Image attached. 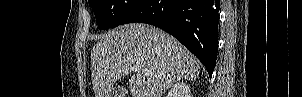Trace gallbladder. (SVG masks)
I'll return each mask as SVG.
<instances>
[{
	"instance_id": "gallbladder-1",
	"label": "gallbladder",
	"mask_w": 302,
	"mask_h": 97,
	"mask_svg": "<svg viewBox=\"0 0 302 97\" xmlns=\"http://www.w3.org/2000/svg\"><path fill=\"white\" fill-rule=\"evenodd\" d=\"M127 90L122 86H115L109 92L107 97H125Z\"/></svg>"
}]
</instances>
